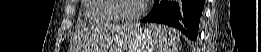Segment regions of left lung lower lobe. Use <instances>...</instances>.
I'll return each mask as SVG.
<instances>
[{
	"label": "left lung lower lobe",
	"mask_w": 261,
	"mask_h": 52,
	"mask_svg": "<svg viewBox=\"0 0 261 52\" xmlns=\"http://www.w3.org/2000/svg\"><path fill=\"white\" fill-rule=\"evenodd\" d=\"M205 0H156L142 23H162L181 31L195 41L203 17Z\"/></svg>",
	"instance_id": "left-lung-lower-lobe-1"
}]
</instances>
